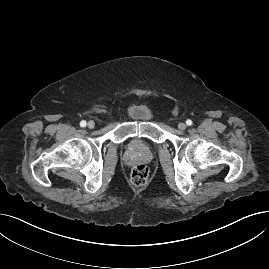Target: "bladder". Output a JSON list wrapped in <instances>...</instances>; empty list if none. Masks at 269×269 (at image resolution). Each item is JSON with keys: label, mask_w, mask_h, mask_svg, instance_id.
I'll list each match as a JSON object with an SVG mask.
<instances>
[{"label": "bladder", "mask_w": 269, "mask_h": 269, "mask_svg": "<svg viewBox=\"0 0 269 269\" xmlns=\"http://www.w3.org/2000/svg\"><path fill=\"white\" fill-rule=\"evenodd\" d=\"M128 115L136 121H149L153 117L152 110L149 106L143 103L133 104L129 110Z\"/></svg>", "instance_id": "31cf9c89"}]
</instances>
